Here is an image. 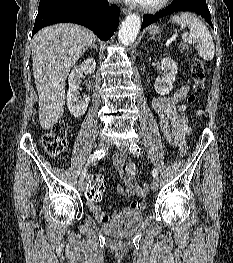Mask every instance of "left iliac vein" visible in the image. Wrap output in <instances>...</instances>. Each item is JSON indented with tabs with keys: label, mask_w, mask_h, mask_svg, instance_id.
Returning <instances> with one entry per match:
<instances>
[{
	"label": "left iliac vein",
	"mask_w": 233,
	"mask_h": 263,
	"mask_svg": "<svg viewBox=\"0 0 233 263\" xmlns=\"http://www.w3.org/2000/svg\"><path fill=\"white\" fill-rule=\"evenodd\" d=\"M118 149L123 152V153H127L129 151V147L128 144H122V145H118ZM159 186V180L157 178L153 179L152 183H151V190L153 192L157 191Z\"/></svg>",
	"instance_id": "1"
}]
</instances>
